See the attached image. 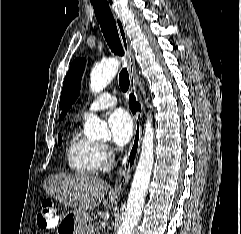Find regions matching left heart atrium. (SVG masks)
<instances>
[{"label": "left heart atrium", "instance_id": "1", "mask_svg": "<svg viewBox=\"0 0 241 234\" xmlns=\"http://www.w3.org/2000/svg\"><path fill=\"white\" fill-rule=\"evenodd\" d=\"M108 126L112 139L117 146H124L133 135V122L123 109H116L108 116Z\"/></svg>", "mask_w": 241, "mask_h": 234}]
</instances>
